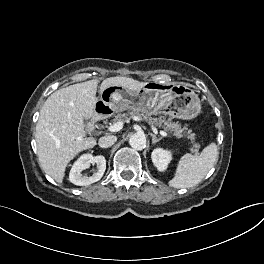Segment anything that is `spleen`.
<instances>
[{
    "instance_id": "obj_1",
    "label": "spleen",
    "mask_w": 264,
    "mask_h": 264,
    "mask_svg": "<svg viewBox=\"0 0 264 264\" xmlns=\"http://www.w3.org/2000/svg\"><path fill=\"white\" fill-rule=\"evenodd\" d=\"M218 160L215 143L206 146L200 155H183L178 161L174 177L169 185L174 188H191L202 181Z\"/></svg>"
}]
</instances>
